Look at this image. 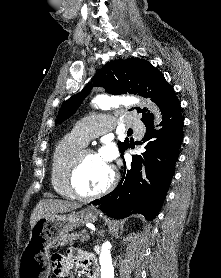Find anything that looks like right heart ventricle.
<instances>
[{"mask_svg":"<svg viewBox=\"0 0 221 278\" xmlns=\"http://www.w3.org/2000/svg\"><path fill=\"white\" fill-rule=\"evenodd\" d=\"M85 144L72 134L66 135L56 145L51 161L50 180L55 192L64 198H75L69 191L66 175L70 161Z\"/></svg>","mask_w":221,"mask_h":278,"instance_id":"obj_1","label":"right heart ventricle"}]
</instances>
